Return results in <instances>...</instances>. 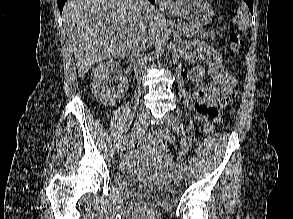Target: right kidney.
Masks as SVG:
<instances>
[{"label": "right kidney", "instance_id": "obj_1", "mask_svg": "<svg viewBox=\"0 0 293 219\" xmlns=\"http://www.w3.org/2000/svg\"><path fill=\"white\" fill-rule=\"evenodd\" d=\"M112 73L117 74V79L121 81V84L117 87H109L111 86L109 78H111ZM90 85L94 96L103 104L108 105L115 102L116 98L126 91L128 82L123 77L119 65L110 60L100 63L94 68Z\"/></svg>", "mask_w": 293, "mask_h": 219}]
</instances>
